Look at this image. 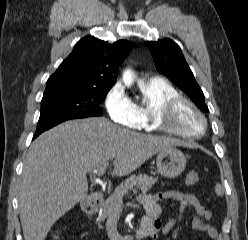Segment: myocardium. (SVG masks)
Here are the masks:
<instances>
[{
    "label": "myocardium",
    "instance_id": "myocardium-1",
    "mask_svg": "<svg viewBox=\"0 0 248 240\" xmlns=\"http://www.w3.org/2000/svg\"><path fill=\"white\" fill-rule=\"evenodd\" d=\"M182 105L189 106L202 119L204 127L200 133H187L175 127V114ZM154 122L161 131L189 139L202 137L208 128V121L203 112L192 100L180 94L174 95L161 103L156 111Z\"/></svg>",
    "mask_w": 248,
    "mask_h": 240
}]
</instances>
